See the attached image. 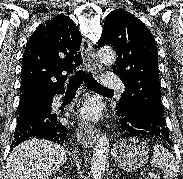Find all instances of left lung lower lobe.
<instances>
[{
  "label": "left lung lower lobe",
  "instance_id": "left-lung-lower-lobe-1",
  "mask_svg": "<svg viewBox=\"0 0 183 179\" xmlns=\"http://www.w3.org/2000/svg\"><path fill=\"white\" fill-rule=\"evenodd\" d=\"M117 125L120 138L147 135L161 138L171 144L168 130L157 125L134 109L117 110Z\"/></svg>",
  "mask_w": 183,
  "mask_h": 179
}]
</instances>
